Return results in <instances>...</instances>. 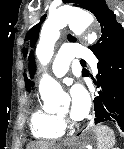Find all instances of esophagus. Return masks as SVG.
I'll return each mask as SVG.
<instances>
[{
	"label": "esophagus",
	"instance_id": "esophagus-1",
	"mask_svg": "<svg viewBox=\"0 0 124 149\" xmlns=\"http://www.w3.org/2000/svg\"><path fill=\"white\" fill-rule=\"evenodd\" d=\"M93 125H94V122H93V120H91L90 122L87 123L86 129L91 128Z\"/></svg>",
	"mask_w": 124,
	"mask_h": 149
}]
</instances>
